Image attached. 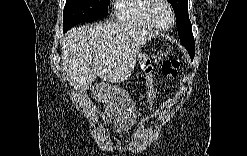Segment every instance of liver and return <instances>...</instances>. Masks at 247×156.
I'll return each instance as SVG.
<instances>
[{
	"label": "liver",
	"mask_w": 247,
	"mask_h": 156,
	"mask_svg": "<svg viewBox=\"0 0 247 156\" xmlns=\"http://www.w3.org/2000/svg\"><path fill=\"white\" fill-rule=\"evenodd\" d=\"M157 35L127 23L72 28L63 39V70L75 88L87 89L97 77L123 82L130 77L143 45Z\"/></svg>",
	"instance_id": "obj_1"
}]
</instances>
